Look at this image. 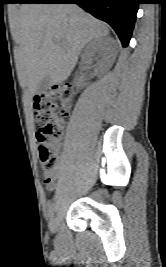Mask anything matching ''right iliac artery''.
I'll use <instances>...</instances> for the list:
<instances>
[{"mask_svg":"<svg viewBox=\"0 0 166 267\" xmlns=\"http://www.w3.org/2000/svg\"><path fill=\"white\" fill-rule=\"evenodd\" d=\"M54 211H55V205L53 203H51L49 205V209H48V217L49 218L53 217Z\"/></svg>","mask_w":166,"mask_h":267,"instance_id":"right-iliac-artery-1","label":"right iliac artery"}]
</instances>
